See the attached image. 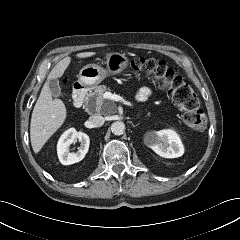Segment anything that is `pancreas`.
<instances>
[{"label": "pancreas", "instance_id": "pancreas-1", "mask_svg": "<svg viewBox=\"0 0 240 240\" xmlns=\"http://www.w3.org/2000/svg\"><path fill=\"white\" fill-rule=\"evenodd\" d=\"M108 90H110V88L105 85L96 86L94 89V92H90L87 95L86 106L89 108V107H91V104L95 103L96 111L99 113L104 112L105 107L107 105L113 106L114 104L112 101L105 100L103 97L104 93Z\"/></svg>", "mask_w": 240, "mask_h": 240}]
</instances>
